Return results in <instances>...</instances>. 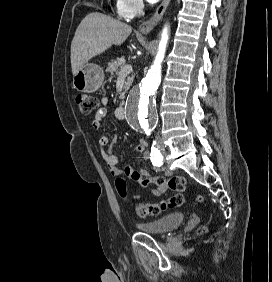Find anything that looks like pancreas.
Returning a JSON list of instances; mask_svg holds the SVG:
<instances>
[{
	"mask_svg": "<svg viewBox=\"0 0 272 282\" xmlns=\"http://www.w3.org/2000/svg\"><path fill=\"white\" fill-rule=\"evenodd\" d=\"M126 66L124 57L117 58L115 60H112L110 63H108L106 67V72H109L113 77H116L117 75L120 74V71ZM134 79V75L131 77L127 78V81L125 82L124 85V92L121 93L119 96L120 100H123L125 97V93L129 90L132 82Z\"/></svg>",
	"mask_w": 272,
	"mask_h": 282,
	"instance_id": "obj_1",
	"label": "pancreas"
}]
</instances>
